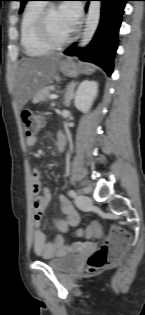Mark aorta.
<instances>
[{"instance_id": "762f6f07", "label": "aorta", "mask_w": 145, "mask_h": 315, "mask_svg": "<svg viewBox=\"0 0 145 315\" xmlns=\"http://www.w3.org/2000/svg\"><path fill=\"white\" fill-rule=\"evenodd\" d=\"M101 2L91 1L88 8L85 27L81 35L80 46L84 47L92 40L100 21Z\"/></svg>"}]
</instances>
